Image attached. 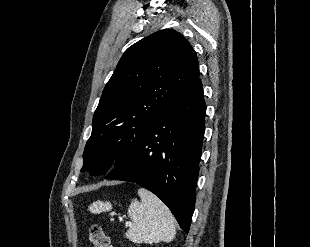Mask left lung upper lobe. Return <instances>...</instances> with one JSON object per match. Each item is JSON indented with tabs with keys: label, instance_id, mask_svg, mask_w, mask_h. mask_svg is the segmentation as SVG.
Returning <instances> with one entry per match:
<instances>
[{
	"label": "left lung upper lobe",
	"instance_id": "1",
	"mask_svg": "<svg viewBox=\"0 0 310 247\" xmlns=\"http://www.w3.org/2000/svg\"><path fill=\"white\" fill-rule=\"evenodd\" d=\"M199 77L190 43L171 29L129 47L107 82L93 116L81 171L104 174L126 161L153 122Z\"/></svg>",
	"mask_w": 310,
	"mask_h": 247
}]
</instances>
